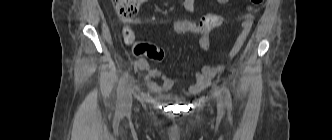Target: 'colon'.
<instances>
[{
    "mask_svg": "<svg viewBox=\"0 0 332 140\" xmlns=\"http://www.w3.org/2000/svg\"><path fill=\"white\" fill-rule=\"evenodd\" d=\"M118 15L125 19H131L140 10L144 0H112ZM264 0H250L252 5H260ZM223 19L216 14H208L199 22L190 20H177L172 23L171 29L175 35L192 34L198 36L208 35L212 30L220 27ZM125 39L134 44V53L137 56H145L149 59L160 61L164 58V51L151 43L135 42L132 32L125 30Z\"/></svg>",
    "mask_w": 332,
    "mask_h": 140,
    "instance_id": "colon-1",
    "label": "colon"
}]
</instances>
